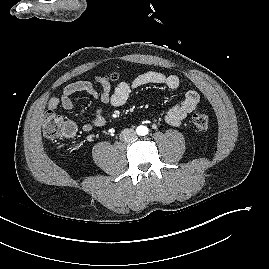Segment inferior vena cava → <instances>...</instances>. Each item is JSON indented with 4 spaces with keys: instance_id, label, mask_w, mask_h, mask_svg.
<instances>
[{
    "instance_id": "1",
    "label": "inferior vena cava",
    "mask_w": 269,
    "mask_h": 269,
    "mask_svg": "<svg viewBox=\"0 0 269 269\" xmlns=\"http://www.w3.org/2000/svg\"><path fill=\"white\" fill-rule=\"evenodd\" d=\"M137 137L136 132L133 129H124L120 133V139L126 142H132L135 141Z\"/></svg>"
}]
</instances>
